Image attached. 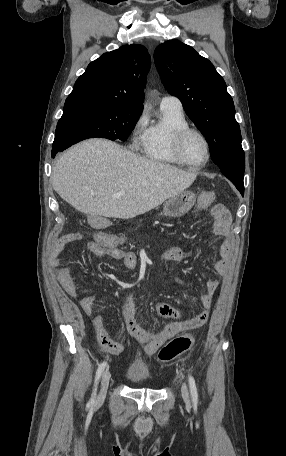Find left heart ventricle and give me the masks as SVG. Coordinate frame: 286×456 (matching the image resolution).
Returning a JSON list of instances; mask_svg holds the SVG:
<instances>
[{
  "label": "left heart ventricle",
  "mask_w": 286,
  "mask_h": 456,
  "mask_svg": "<svg viewBox=\"0 0 286 456\" xmlns=\"http://www.w3.org/2000/svg\"><path fill=\"white\" fill-rule=\"evenodd\" d=\"M182 151L185 158L193 164H200L206 158V145L202 138L195 133H191L185 138Z\"/></svg>",
  "instance_id": "obj_1"
}]
</instances>
